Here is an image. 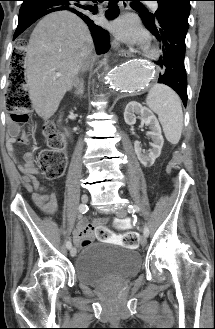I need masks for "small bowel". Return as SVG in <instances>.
<instances>
[{
  "label": "small bowel",
  "mask_w": 215,
  "mask_h": 329,
  "mask_svg": "<svg viewBox=\"0 0 215 329\" xmlns=\"http://www.w3.org/2000/svg\"><path fill=\"white\" fill-rule=\"evenodd\" d=\"M19 127L15 124L10 126V136L7 141V147L12 157H15L14 144H26V136L18 137ZM19 169L24 177L31 183L34 192L32 199L35 205L46 214L52 215L58 207L57 196L54 193H45V187L35 177L37 170L34 166V156L31 153H26L23 162L19 163ZM107 218L99 217L93 222L94 225L87 220H81L76 227L74 233L77 243L80 247H85L84 239L87 237L90 240V234L94 232L96 242H114L118 240L115 235H112L111 225H105Z\"/></svg>",
  "instance_id": "c3829d8e"
}]
</instances>
